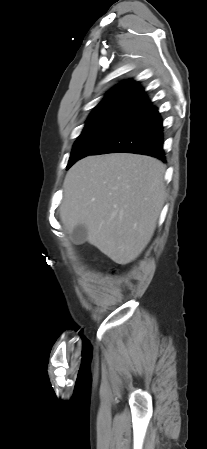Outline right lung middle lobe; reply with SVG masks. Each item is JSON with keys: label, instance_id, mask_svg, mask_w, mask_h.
<instances>
[{"label": "right lung middle lobe", "instance_id": "obj_1", "mask_svg": "<svg viewBox=\"0 0 207 449\" xmlns=\"http://www.w3.org/2000/svg\"><path fill=\"white\" fill-rule=\"evenodd\" d=\"M135 115V113L124 111L90 115L83 132L73 146L67 169L77 160L90 155L110 136L132 120Z\"/></svg>", "mask_w": 207, "mask_h": 449}]
</instances>
